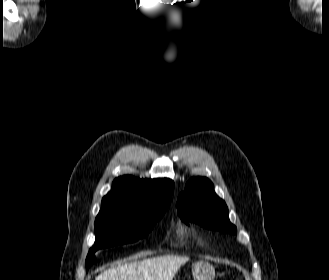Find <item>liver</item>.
<instances>
[{"mask_svg": "<svg viewBox=\"0 0 329 280\" xmlns=\"http://www.w3.org/2000/svg\"><path fill=\"white\" fill-rule=\"evenodd\" d=\"M131 262H120L99 274L95 280H173L189 257L165 255Z\"/></svg>", "mask_w": 329, "mask_h": 280, "instance_id": "6515ba94", "label": "liver"}]
</instances>
